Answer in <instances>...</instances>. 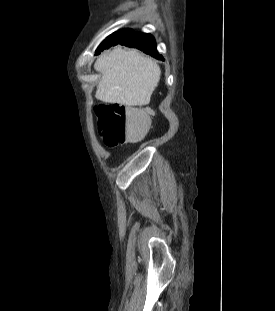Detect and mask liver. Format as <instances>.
I'll return each instance as SVG.
<instances>
[{"label": "liver", "instance_id": "liver-1", "mask_svg": "<svg viewBox=\"0 0 275 311\" xmlns=\"http://www.w3.org/2000/svg\"><path fill=\"white\" fill-rule=\"evenodd\" d=\"M94 67L101 74L97 98L126 106L147 105L161 75L155 61L120 47L98 58Z\"/></svg>", "mask_w": 275, "mask_h": 311}]
</instances>
